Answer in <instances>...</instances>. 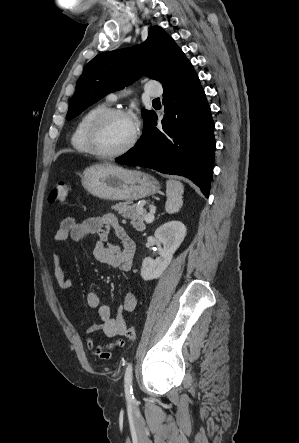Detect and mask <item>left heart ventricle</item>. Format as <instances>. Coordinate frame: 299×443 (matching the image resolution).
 Wrapping results in <instances>:
<instances>
[{
    "label": "left heart ventricle",
    "mask_w": 299,
    "mask_h": 443,
    "mask_svg": "<svg viewBox=\"0 0 299 443\" xmlns=\"http://www.w3.org/2000/svg\"><path fill=\"white\" fill-rule=\"evenodd\" d=\"M134 124L126 117H113L102 126L98 135V146L103 152L111 153L122 149L132 138Z\"/></svg>",
    "instance_id": "b2bd125f"
}]
</instances>
